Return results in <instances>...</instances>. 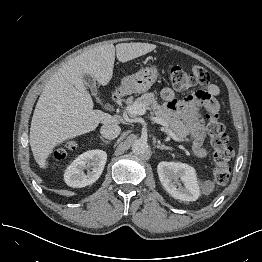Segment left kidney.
Wrapping results in <instances>:
<instances>
[{
	"mask_svg": "<svg viewBox=\"0 0 262 262\" xmlns=\"http://www.w3.org/2000/svg\"><path fill=\"white\" fill-rule=\"evenodd\" d=\"M157 172L164 189L175 199L196 201L200 195L195 169L185 163L160 162ZM183 184V186H182Z\"/></svg>",
	"mask_w": 262,
	"mask_h": 262,
	"instance_id": "left-kidney-1",
	"label": "left kidney"
}]
</instances>
